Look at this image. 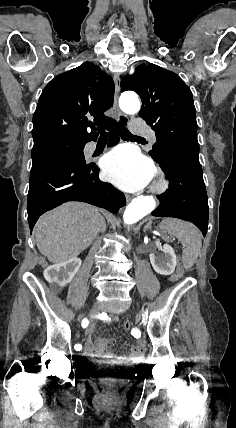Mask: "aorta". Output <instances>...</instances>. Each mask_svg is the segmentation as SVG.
<instances>
[{"label":"aorta","instance_id":"1","mask_svg":"<svg viewBox=\"0 0 236 428\" xmlns=\"http://www.w3.org/2000/svg\"><path fill=\"white\" fill-rule=\"evenodd\" d=\"M119 106L123 112L134 115L140 110L138 96L134 92H124L119 99ZM156 207L152 196H141L135 198L125 209L123 221L125 224H134L141 218L151 213Z\"/></svg>","mask_w":236,"mask_h":428}]
</instances>
